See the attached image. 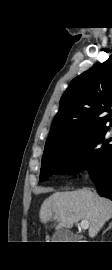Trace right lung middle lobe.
<instances>
[{"label":"right lung middle lobe","mask_w":112,"mask_h":270,"mask_svg":"<svg viewBox=\"0 0 112 270\" xmlns=\"http://www.w3.org/2000/svg\"><path fill=\"white\" fill-rule=\"evenodd\" d=\"M108 129L99 128L75 140L46 146L40 180L44 181L54 172H75L88 168L90 173L98 170L112 149V138H107Z\"/></svg>","instance_id":"obj_1"}]
</instances>
